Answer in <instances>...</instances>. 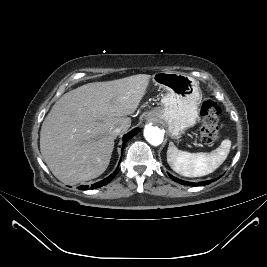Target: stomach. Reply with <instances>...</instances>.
<instances>
[{
  "instance_id": "1",
  "label": "stomach",
  "mask_w": 267,
  "mask_h": 267,
  "mask_svg": "<svg viewBox=\"0 0 267 267\" xmlns=\"http://www.w3.org/2000/svg\"><path fill=\"white\" fill-rule=\"evenodd\" d=\"M153 81L164 90L161 106L147 113V118L162 121L169 135L179 139L199 119L200 87L191 76L177 72H160Z\"/></svg>"
}]
</instances>
